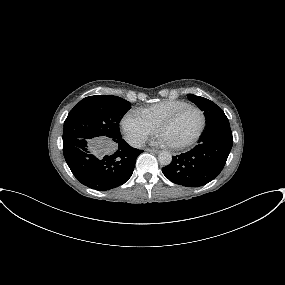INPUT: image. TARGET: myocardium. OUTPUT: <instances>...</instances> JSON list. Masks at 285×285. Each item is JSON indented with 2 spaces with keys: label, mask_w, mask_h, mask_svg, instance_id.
<instances>
[{
  "label": "myocardium",
  "mask_w": 285,
  "mask_h": 285,
  "mask_svg": "<svg viewBox=\"0 0 285 285\" xmlns=\"http://www.w3.org/2000/svg\"><path fill=\"white\" fill-rule=\"evenodd\" d=\"M188 108H193L196 109L200 116H201V125L198 129V131L187 141L181 143V144H168V146L171 149H175V150H179V149H183L186 148L192 144H194L202 135V133L205 130L206 127V116L204 111L198 107L197 105L194 104H186L180 108H178L176 111H174L170 116H168L166 119H164L161 123L158 124V126L156 127V131L157 133H160L164 128H166L167 126H169L170 124H172L175 119L178 117V115L185 109Z\"/></svg>",
  "instance_id": "f54148a6"
}]
</instances>
